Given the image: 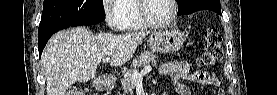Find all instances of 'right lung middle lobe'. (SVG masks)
Wrapping results in <instances>:
<instances>
[{
  "label": "right lung middle lobe",
  "mask_w": 277,
  "mask_h": 95,
  "mask_svg": "<svg viewBox=\"0 0 277 95\" xmlns=\"http://www.w3.org/2000/svg\"><path fill=\"white\" fill-rule=\"evenodd\" d=\"M104 19L102 0H44L39 30L54 25L99 23Z\"/></svg>",
  "instance_id": "dd1d6c3e"
}]
</instances>
